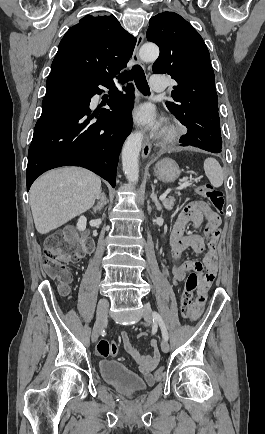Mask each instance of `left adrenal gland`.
<instances>
[{
	"mask_svg": "<svg viewBox=\"0 0 265 434\" xmlns=\"http://www.w3.org/2000/svg\"><path fill=\"white\" fill-rule=\"evenodd\" d=\"M151 188H152V194H151L150 198H151L152 202H154L158 212H161L162 206H161L159 200H157V196L155 194V186H153V184H152Z\"/></svg>",
	"mask_w": 265,
	"mask_h": 434,
	"instance_id": "1",
	"label": "left adrenal gland"
}]
</instances>
